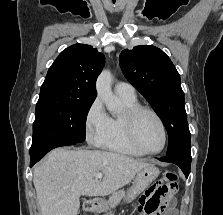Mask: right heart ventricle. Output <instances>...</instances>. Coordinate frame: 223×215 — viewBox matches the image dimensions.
<instances>
[{"mask_svg": "<svg viewBox=\"0 0 223 215\" xmlns=\"http://www.w3.org/2000/svg\"><path fill=\"white\" fill-rule=\"evenodd\" d=\"M122 98V97H121ZM125 103V111L121 115H113L110 117V125L100 140V145L107 150L118 152L121 154L137 156L138 154L129 145L126 138L124 115L129 109H133L138 106L136 99L131 100L127 98H122Z\"/></svg>", "mask_w": 223, "mask_h": 215, "instance_id": "1", "label": "right heart ventricle"}]
</instances>
